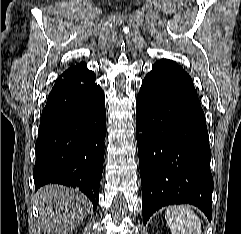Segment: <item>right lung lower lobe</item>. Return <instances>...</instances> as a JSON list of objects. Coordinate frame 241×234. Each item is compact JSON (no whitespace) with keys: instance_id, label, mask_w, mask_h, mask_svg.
<instances>
[{"instance_id":"right-lung-lower-lobe-1","label":"right lung lower lobe","mask_w":241,"mask_h":234,"mask_svg":"<svg viewBox=\"0 0 241 234\" xmlns=\"http://www.w3.org/2000/svg\"><path fill=\"white\" fill-rule=\"evenodd\" d=\"M82 63L55 82L41 114L35 190L48 183L79 188L96 210L106 136L105 96Z\"/></svg>"}]
</instances>
